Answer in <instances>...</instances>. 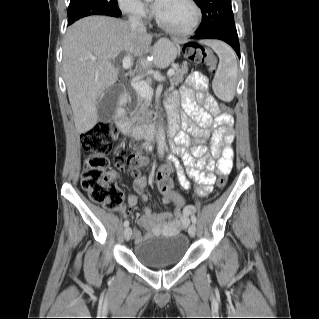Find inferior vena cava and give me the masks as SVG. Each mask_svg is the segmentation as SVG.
<instances>
[{"label":"inferior vena cava","mask_w":319,"mask_h":319,"mask_svg":"<svg viewBox=\"0 0 319 319\" xmlns=\"http://www.w3.org/2000/svg\"><path fill=\"white\" fill-rule=\"evenodd\" d=\"M128 24L132 31L135 32H146V27L143 24L142 20L136 16H129Z\"/></svg>","instance_id":"inferior-vena-cava-1"}]
</instances>
